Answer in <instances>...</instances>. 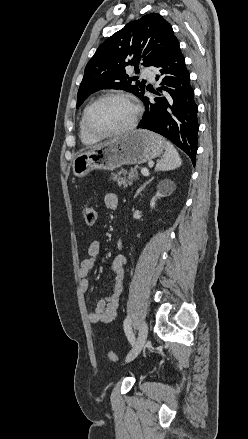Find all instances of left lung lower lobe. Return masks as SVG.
<instances>
[{
    "mask_svg": "<svg viewBox=\"0 0 248 439\" xmlns=\"http://www.w3.org/2000/svg\"><path fill=\"white\" fill-rule=\"evenodd\" d=\"M155 67L156 79L161 81V87L158 91L148 87L147 90L159 97L150 100L143 94L141 99L145 105V114L138 128L163 135L182 149L195 165L198 106L178 40Z\"/></svg>",
    "mask_w": 248,
    "mask_h": 439,
    "instance_id": "1",
    "label": "left lung lower lobe"
}]
</instances>
